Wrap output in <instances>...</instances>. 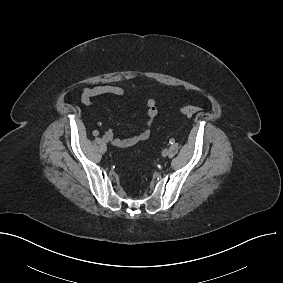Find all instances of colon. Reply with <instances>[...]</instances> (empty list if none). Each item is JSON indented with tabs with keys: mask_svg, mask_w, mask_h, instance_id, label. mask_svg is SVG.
Returning <instances> with one entry per match:
<instances>
[{
	"mask_svg": "<svg viewBox=\"0 0 283 283\" xmlns=\"http://www.w3.org/2000/svg\"><path fill=\"white\" fill-rule=\"evenodd\" d=\"M200 111V108L193 105L182 106L180 112L185 116H192Z\"/></svg>",
	"mask_w": 283,
	"mask_h": 283,
	"instance_id": "1",
	"label": "colon"
}]
</instances>
